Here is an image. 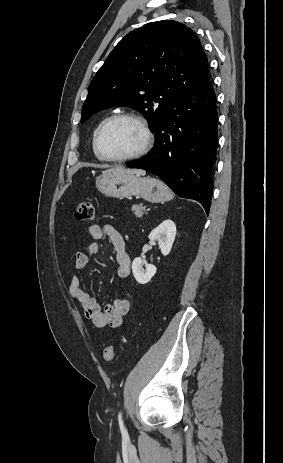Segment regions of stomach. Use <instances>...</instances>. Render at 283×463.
I'll use <instances>...</instances> for the list:
<instances>
[{"label": "stomach", "instance_id": "stomach-1", "mask_svg": "<svg viewBox=\"0 0 283 463\" xmlns=\"http://www.w3.org/2000/svg\"><path fill=\"white\" fill-rule=\"evenodd\" d=\"M98 190L113 198L141 197L149 202H164L173 197L168 187L158 179L136 174L103 172L96 179Z\"/></svg>", "mask_w": 283, "mask_h": 463}]
</instances>
